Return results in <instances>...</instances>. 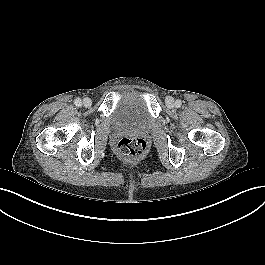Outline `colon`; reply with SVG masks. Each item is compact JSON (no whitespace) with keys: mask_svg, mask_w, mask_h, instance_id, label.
I'll use <instances>...</instances> for the list:
<instances>
[{"mask_svg":"<svg viewBox=\"0 0 265 265\" xmlns=\"http://www.w3.org/2000/svg\"><path fill=\"white\" fill-rule=\"evenodd\" d=\"M147 142L140 137H124L116 144L117 153L124 158H140L147 152Z\"/></svg>","mask_w":265,"mask_h":265,"instance_id":"colon-1","label":"colon"}]
</instances>
